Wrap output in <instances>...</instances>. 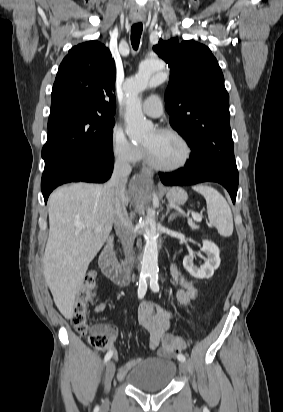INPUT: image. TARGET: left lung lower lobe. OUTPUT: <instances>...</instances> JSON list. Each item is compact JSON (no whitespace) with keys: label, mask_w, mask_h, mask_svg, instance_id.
<instances>
[{"label":"left lung lower lobe","mask_w":283,"mask_h":412,"mask_svg":"<svg viewBox=\"0 0 283 412\" xmlns=\"http://www.w3.org/2000/svg\"><path fill=\"white\" fill-rule=\"evenodd\" d=\"M165 185H191L206 181L217 182L229 192L235 203L238 183L229 179V164L222 156L216 154L214 159L202 146L193 149L184 168L172 173H159Z\"/></svg>","instance_id":"left-lung-lower-lobe-1"}]
</instances>
